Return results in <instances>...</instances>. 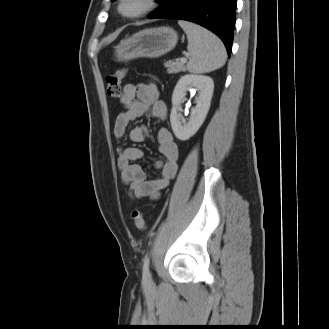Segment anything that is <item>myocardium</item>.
Segmentation results:
<instances>
[{"label":"myocardium","mask_w":329,"mask_h":329,"mask_svg":"<svg viewBox=\"0 0 329 329\" xmlns=\"http://www.w3.org/2000/svg\"><path fill=\"white\" fill-rule=\"evenodd\" d=\"M129 0H119L117 10L118 13L128 19H135L139 18L141 16H144L148 13H150L154 8L156 7V0H140L141 7L131 13H126L123 11V5L128 2Z\"/></svg>","instance_id":"myocardium-1"}]
</instances>
